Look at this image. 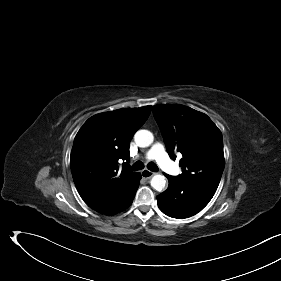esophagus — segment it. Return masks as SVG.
I'll return each mask as SVG.
<instances>
[{"label": "esophagus", "mask_w": 281, "mask_h": 281, "mask_svg": "<svg viewBox=\"0 0 281 281\" xmlns=\"http://www.w3.org/2000/svg\"><path fill=\"white\" fill-rule=\"evenodd\" d=\"M141 175H142L143 178L149 179L152 176H154L155 173L150 171V170H148V169H144V170L141 171Z\"/></svg>", "instance_id": "esophagus-1"}]
</instances>
